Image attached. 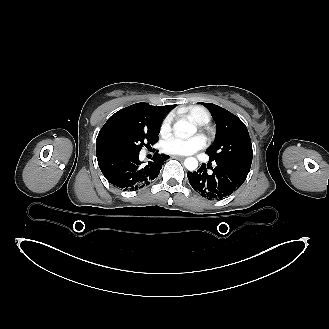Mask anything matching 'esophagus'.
I'll return each mask as SVG.
<instances>
[{"label": "esophagus", "mask_w": 329, "mask_h": 329, "mask_svg": "<svg viewBox=\"0 0 329 329\" xmlns=\"http://www.w3.org/2000/svg\"><path fill=\"white\" fill-rule=\"evenodd\" d=\"M172 158L184 159V156L173 155Z\"/></svg>", "instance_id": "obj_1"}]
</instances>
